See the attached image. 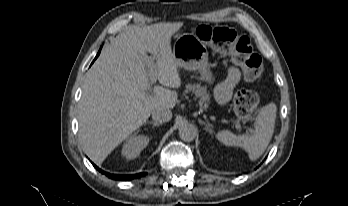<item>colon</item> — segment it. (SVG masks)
I'll return each mask as SVG.
<instances>
[{
  "label": "colon",
  "instance_id": "colon-1",
  "mask_svg": "<svg viewBox=\"0 0 348 206\" xmlns=\"http://www.w3.org/2000/svg\"><path fill=\"white\" fill-rule=\"evenodd\" d=\"M196 35L201 41L212 44L218 52L229 54L241 67L247 81L256 80L261 76L262 58L254 52L247 36L225 26L210 25L198 26ZM233 107L239 117H252L258 110L259 98L251 90L240 89L235 93Z\"/></svg>",
  "mask_w": 348,
  "mask_h": 206
}]
</instances>
